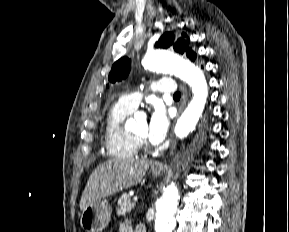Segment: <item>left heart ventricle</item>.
I'll return each mask as SVG.
<instances>
[{"mask_svg":"<svg viewBox=\"0 0 289 232\" xmlns=\"http://www.w3.org/2000/svg\"><path fill=\"white\" fill-rule=\"evenodd\" d=\"M133 134L142 138H146L147 137V123L145 121L139 122Z\"/></svg>","mask_w":289,"mask_h":232,"instance_id":"obj_1","label":"left heart ventricle"}]
</instances>
